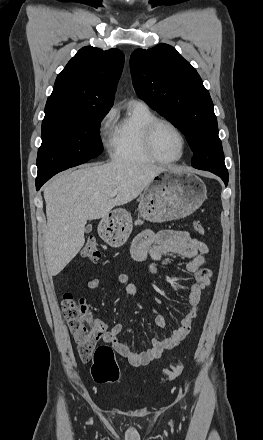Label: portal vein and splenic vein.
<instances>
[{"label":"portal vein and splenic vein","instance_id":"portal-vein-and-splenic-vein-1","mask_svg":"<svg viewBox=\"0 0 263 440\" xmlns=\"http://www.w3.org/2000/svg\"><path fill=\"white\" fill-rule=\"evenodd\" d=\"M117 193H118V191H117V190H114V191H112V192L110 193L109 197H110V198H113V197H115V196L117 195Z\"/></svg>","mask_w":263,"mask_h":440}]
</instances>
